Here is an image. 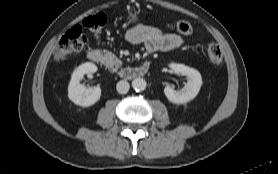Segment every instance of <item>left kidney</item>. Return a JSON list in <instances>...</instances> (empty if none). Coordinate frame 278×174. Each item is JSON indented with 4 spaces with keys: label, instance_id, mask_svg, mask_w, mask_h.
<instances>
[{
    "label": "left kidney",
    "instance_id": "left-kidney-1",
    "mask_svg": "<svg viewBox=\"0 0 278 174\" xmlns=\"http://www.w3.org/2000/svg\"><path fill=\"white\" fill-rule=\"evenodd\" d=\"M172 70L177 74L187 76V83L180 91H176L170 86L164 88L167 99L175 104H184L193 100L202 86V77L199 71L183 64H170Z\"/></svg>",
    "mask_w": 278,
    "mask_h": 174
}]
</instances>
